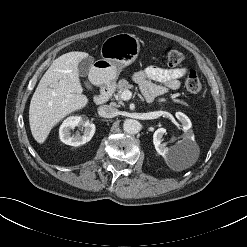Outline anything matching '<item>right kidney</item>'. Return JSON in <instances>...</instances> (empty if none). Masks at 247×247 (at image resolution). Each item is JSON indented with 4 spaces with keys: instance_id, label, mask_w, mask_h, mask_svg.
<instances>
[{
    "instance_id": "obj_1",
    "label": "right kidney",
    "mask_w": 247,
    "mask_h": 247,
    "mask_svg": "<svg viewBox=\"0 0 247 247\" xmlns=\"http://www.w3.org/2000/svg\"><path fill=\"white\" fill-rule=\"evenodd\" d=\"M75 127L84 129L83 135L75 134L71 135V130ZM95 133V125L89 122L88 119L80 116H71L65 119L60 126L59 136L60 140L71 146H80L90 141Z\"/></svg>"
}]
</instances>
